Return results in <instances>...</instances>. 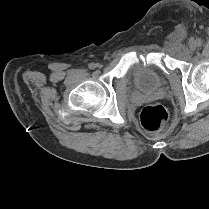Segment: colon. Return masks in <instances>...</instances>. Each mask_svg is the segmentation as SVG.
I'll return each mask as SVG.
<instances>
[{
	"mask_svg": "<svg viewBox=\"0 0 209 209\" xmlns=\"http://www.w3.org/2000/svg\"><path fill=\"white\" fill-rule=\"evenodd\" d=\"M169 116L168 110L161 105L147 106L141 112L140 122L146 130L155 132L167 124Z\"/></svg>",
	"mask_w": 209,
	"mask_h": 209,
	"instance_id": "1",
	"label": "colon"
}]
</instances>
